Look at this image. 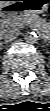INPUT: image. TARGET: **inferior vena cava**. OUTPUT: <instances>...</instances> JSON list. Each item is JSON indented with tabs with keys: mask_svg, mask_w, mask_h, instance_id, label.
<instances>
[{
	"mask_svg": "<svg viewBox=\"0 0 50 111\" xmlns=\"http://www.w3.org/2000/svg\"><path fill=\"white\" fill-rule=\"evenodd\" d=\"M19 34L20 33L18 30H8L1 34V38L6 41H12L16 39L19 36Z\"/></svg>",
	"mask_w": 50,
	"mask_h": 111,
	"instance_id": "obj_1",
	"label": "inferior vena cava"
}]
</instances>
